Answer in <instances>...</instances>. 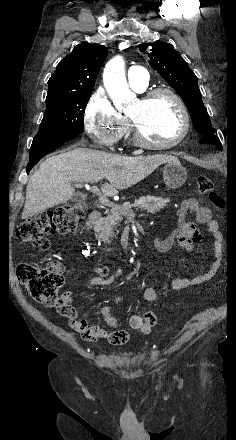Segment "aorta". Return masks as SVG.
<instances>
[{
    "mask_svg": "<svg viewBox=\"0 0 236 440\" xmlns=\"http://www.w3.org/2000/svg\"><path fill=\"white\" fill-rule=\"evenodd\" d=\"M103 83L118 111L126 109L135 102L136 95L128 86L125 76V63L122 57L116 56L106 64Z\"/></svg>",
    "mask_w": 236,
    "mask_h": 440,
    "instance_id": "762f6f07",
    "label": "aorta"
}]
</instances>
